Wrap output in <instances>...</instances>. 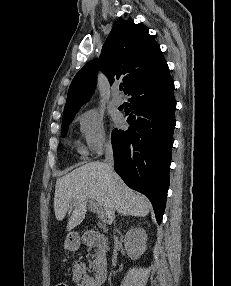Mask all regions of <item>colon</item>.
<instances>
[{
    "label": "colon",
    "instance_id": "colon-1",
    "mask_svg": "<svg viewBox=\"0 0 231 286\" xmlns=\"http://www.w3.org/2000/svg\"><path fill=\"white\" fill-rule=\"evenodd\" d=\"M56 286H71V285L68 284V283H59V284H57Z\"/></svg>",
    "mask_w": 231,
    "mask_h": 286
}]
</instances>
